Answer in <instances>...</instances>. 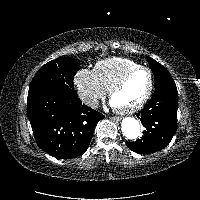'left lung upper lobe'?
Returning <instances> with one entry per match:
<instances>
[{"mask_svg": "<svg viewBox=\"0 0 200 200\" xmlns=\"http://www.w3.org/2000/svg\"><path fill=\"white\" fill-rule=\"evenodd\" d=\"M148 63L151 67V70L155 76V89H159L161 87H169V88H175V82L172 79L169 72L166 70L164 66H162L160 63L155 61L152 58H148Z\"/></svg>", "mask_w": 200, "mask_h": 200, "instance_id": "1", "label": "left lung upper lobe"}]
</instances>
